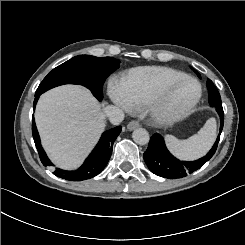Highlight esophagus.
Returning <instances> with one entry per match:
<instances>
[{
	"instance_id": "34e87169",
	"label": "esophagus",
	"mask_w": 245,
	"mask_h": 245,
	"mask_svg": "<svg viewBox=\"0 0 245 245\" xmlns=\"http://www.w3.org/2000/svg\"><path fill=\"white\" fill-rule=\"evenodd\" d=\"M139 122L138 121H131L128 125H127V129L129 131L134 130L135 128L139 127Z\"/></svg>"
}]
</instances>
